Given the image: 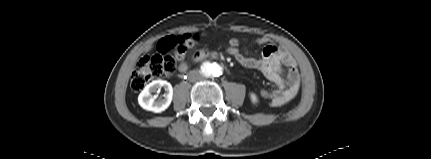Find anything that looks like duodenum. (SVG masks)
<instances>
[{"label": "duodenum", "instance_id": "duodenum-1", "mask_svg": "<svg viewBox=\"0 0 431 159\" xmlns=\"http://www.w3.org/2000/svg\"><path fill=\"white\" fill-rule=\"evenodd\" d=\"M208 56H215V55L205 51H198L194 54L193 59L197 61Z\"/></svg>", "mask_w": 431, "mask_h": 159}]
</instances>
